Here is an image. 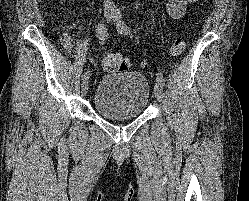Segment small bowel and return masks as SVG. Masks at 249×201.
Here are the masks:
<instances>
[{"label": "small bowel", "mask_w": 249, "mask_h": 201, "mask_svg": "<svg viewBox=\"0 0 249 201\" xmlns=\"http://www.w3.org/2000/svg\"><path fill=\"white\" fill-rule=\"evenodd\" d=\"M197 0H167L166 1V11L168 14L174 18L179 19L182 18L188 7L195 3ZM62 45L68 52H71V36L68 32H64L60 38Z\"/></svg>", "instance_id": "c3829d8e"}]
</instances>
